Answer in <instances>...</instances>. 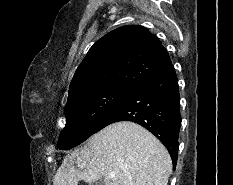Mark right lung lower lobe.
<instances>
[{
    "instance_id": "98d812e1",
    "label": "right lung lower lobe",
    "mask_w": 233,
    "mask_h": 185,
    "mask_svg": "<svg viewBox=\"0 0 233 185\" xmlns=\"http://www.w3.org/2000/svg\"><path fill=\"white\" fill-rule=\"evenodd\" d=\"M122 120L133 121L152 132L168 149L175 169L181 115L178 81L172 64L132 88L96 132Z\"/></svg>"
}]
</instances>
